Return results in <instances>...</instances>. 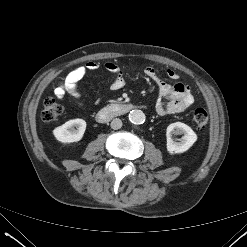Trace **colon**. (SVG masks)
Segmentation results:
<instances>
[{
    "label": "colon",
    "instance_id": "5ec220e1",
    "mask_svg": "<svg viewBox=\"0 0 247 247\" xmlns=\"http://www.w3.org/2000/svg\"><path fill=\"white\" fill-rule=\"evenodd\" d=\"M63 108L53 98H46L43 104L41 117L45 122L55 121L62 113ZM193 124L198 130H204L208 124V112L204 108H196L193 112Z\"/></svg>",
    "mask_w": 247,
    "mask_h": 247
}]
</instances>
